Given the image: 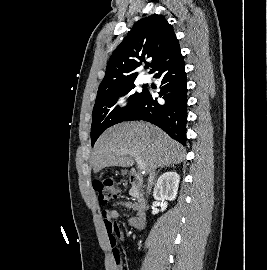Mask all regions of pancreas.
<instances>
[{"label": "pancreas", "instance_id": "pancreas-1", "mask_svg": "<svg viewBox=\"0 0 267 270\" xmlns=\"http://www.w3.org/2000/svg\"><path fill=\"white\" fill-rule=\"evenodd\" d=\"M129 194L133 198V200H136V199L139 200V194L137 193V189L135 187H132L130 189Z\"/></svg>", "mask_w": 267, "mask_h": 270}]
</instances>
